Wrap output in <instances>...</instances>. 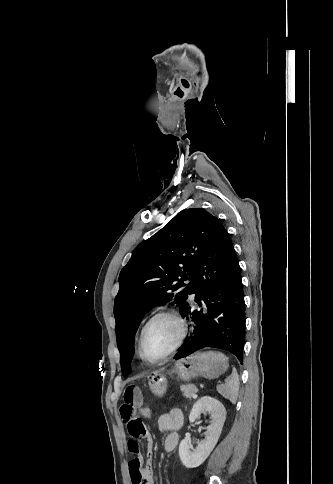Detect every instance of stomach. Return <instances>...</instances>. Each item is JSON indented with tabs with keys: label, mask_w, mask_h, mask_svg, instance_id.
<instances>
[{
	"label": "stomach",
	"mask_w": 333,
	"mask_h": 484,
	"mask_svg": "<svg viewBox=\"0 0 333 484\" xmlns=\"http://www.w3.org/2000/svg\"><path fill=\"white\" fill-rule=\"evenodd\" d=\"M227 368L228 359L224 354L214 351L196 352L178 359L170 371L164 368L153 371L149 375V387L154 395L162 397L167 389V374H174L188 382L198 376L218 378Z\"/></svg>",
	"instance_id": "stomach-1"
}]
</instances>
